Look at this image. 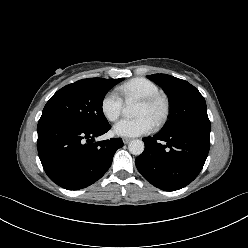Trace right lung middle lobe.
Segmentation results:
<instances>
[{
    "label": "right lung middle lobe",
    "instance_id": "obj_1",
    "mask_svg": "<svg viewBox=\"0 0 248 248\" xmlns=\"http://www.w3.org/2000/svg\"><path fill=\"white\" fill-rule=\"evenodd\" d=\"M120 79H82L58 90L45 105L39 122L68 120L85 127L108 124L102 110L106 93Z\"/></svg>",
    "mask_w": 248,
    "mask_h": 248
}]
</instances>
